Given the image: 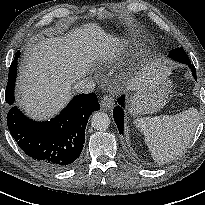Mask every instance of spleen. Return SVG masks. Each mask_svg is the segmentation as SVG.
I'll use <instances>...</instances> for the list:
<instances>
[{
    "instance_id": "spleen-1",
    "label": "spleen",
    "mask_w": 205,
    "mask_h": 205,
    "mask_svg": "<svg viewBox=\"0 0 205 205\" xmlns=\"http://www.w3.org/2000/svg\"><path fill=\"white\" fill-rule=\"evenodd\" d=\"M134 124L143 133L154 161L165 164L188 147L198 124V111L189 108L174 116L137 118Z\"/></svg>"
}]
</instances>
